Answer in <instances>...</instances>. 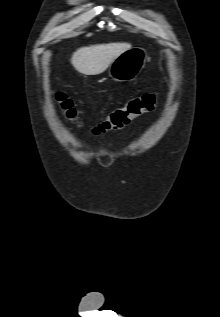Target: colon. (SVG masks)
Masks as SVG:
<instances>
[{
	"mask_svg": "<svg viewBox=\"0 0 220 317\" xmlns=\"http://www.w3.org/2000/svg\"><path fill=\"white\" fill-rule=\"evenodd\" d=\"M53 100L56 107L65 118L76 126H80L77 110L71 99L62 93H55ZM158 95L145 93L127 101L124 105L112 110L104 120L93 128V133L100 135L110 131L122 129L129 125L138 116L154 110L158 105Z\"/></svg>",
	"mask_w": 220,
	"mask_h": 317,
	"instance_id": "colon-1",
	"label": "colon"
}]
</instances>
